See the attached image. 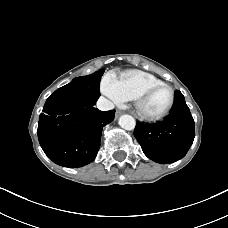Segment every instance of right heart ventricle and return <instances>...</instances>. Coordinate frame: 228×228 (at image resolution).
Listing matches in <instances>:
<instances>
[{
    "mask_svg": "<svg viewBox=\"0 0 228 228\" xmlns=\"http://www.w3.org/2000/svg\"><path fill=\"white\" fill-rule=\"evenodd\" d=\"M161 82L162 81L153 74L141 70L123 72L116 79L118 92L125 101L135 100L146 87Z\"/></svg>",
    "mask_w": 228,
    "mask_h": 228,
    "instance_id": "e07e8e85",
    "label": "right heart ventricle"
}]
</instances>
